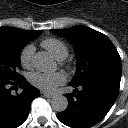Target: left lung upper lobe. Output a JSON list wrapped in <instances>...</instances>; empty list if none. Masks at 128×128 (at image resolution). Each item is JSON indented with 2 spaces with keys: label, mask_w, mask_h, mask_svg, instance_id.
<instances>
[{
  "label": "left lung upper lobe",
  "mask_w": 128,
  "mask_h": 128,
  "mask_svg": "<svg viewBox=\"0 0 128 128\" xmlns=\"http://www.w3.org/2000/svg\"><path fill=\"white\" fill-rule=\"evenodd\" d=\"M51 32L65 37L74 45L77 71L71 83H80L99 71L121 73L119 53L106 35L82 25Z\"/></svg>",
  "instance_id": "left-lung-upper-lobe-1"
}]
</instances>
